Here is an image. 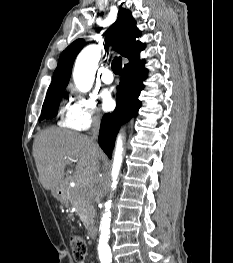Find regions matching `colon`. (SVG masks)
<instances>
[{
	"instance_id": "obj_1",
	"label": "colon",
	"mask_w": 233,
	"mask_h": 263,
	"mask_svg": "<svg viewBox=\"0 0 233 263\" xmlns=\"http://www.w3.org/2000/svg\"><path fill=\"white\" fill-rule=\"evenodd\" d=\"M70 243L73 251V257L77 263L82 261L87 254V244L84 238L77 234L73 233L70 236Z\"/></svg>"
}]
</instances>
